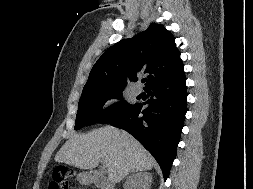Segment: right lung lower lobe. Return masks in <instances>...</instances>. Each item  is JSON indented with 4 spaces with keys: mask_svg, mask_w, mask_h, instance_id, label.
I'll return each instance as SVG.
<instances>
[{
    "mask_svg": "<svg viewBox=\"0 0 253 189\" xmlns=\"http://www.w3.org/2000/svg\"><path fill=\"white\" fill-rule=\"evenodd\" d=\"M185 83L183 74L151 85L145 89L150 96L146 103L135 104L127 112L109 121L143 144L160 165L165 180L169 176L184 126L187 111ZM145 104L148 107L143 110Z\"/></svg>",
    "mask_w": 253,
    "mask_h": 189,
    "instance_id": "right-lung-lower-lobe-1",
    "label": "right lung lower lobe"
}]
</instances>
